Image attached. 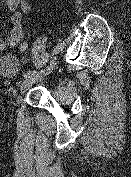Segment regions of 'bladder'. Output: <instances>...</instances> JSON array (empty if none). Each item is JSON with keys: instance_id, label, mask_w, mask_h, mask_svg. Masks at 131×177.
Here are the masks:
<instances>
[{"instance_id": "1", "label": "bladder", "mask_w": 131, "mask_h": 177, "mask_svg": "<svg viewBox=\"0 0 131 177\" xmlns=\"http://www.w3.org/2000/svg\"><path fill=\"white\" fill-rule=\"evenodd\" d=\"M0 71L9 76H16L20 73V67L13 56L6 55L0 60Z\"/></svg>"}]
</instances>
